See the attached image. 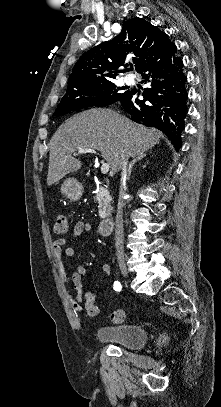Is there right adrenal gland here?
<instances>
[{
	"label": "right adrenal gland",
	"instance_id": "1",
	"mask_svg": "<svg viewBox=\"0 0 221 407\" xmlns=\"http://www.w3.org/2000/svg\"><path fill=\"white\" fill-rule=\"evenodd\" d=\"M144 157H146V154H145V153H141V154H139L138 156H136V157L132 160V162L129 164V167H128V174H127V179H128V180L130 179V176H131L132 167L135 165V163H136L137 161L142 160Z\"/></svg>",
	"mask_w": 221,
	"mask_h": 407
}]
</instances>
